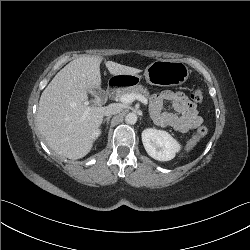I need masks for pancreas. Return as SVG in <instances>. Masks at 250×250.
I'll use <instances>...</instances> for the list:
<instances>
[{"label": "pancreas", "instance_id": "cf45deb5", "mask_svg": "<svg viewBox=\"0 0 250 250\" xmlns=\"http://www.w3.org/2000/svg\"><path fill=\"white\" fill-rule=\"evenodd\" d=\"M130 93L141 94L145 98L149 97V91L147 90V88H145L142 85H136L133 87L122 88V89L117 91L116 96L118 98H120L122 95L130 94Z\"/></svg>", "mask_w": 250, "mask_h": 250}]
</instances>
